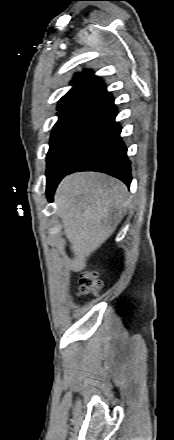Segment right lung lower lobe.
<instances>
[{
  "label": "right lung lower lobe",
  "mask_w": 174,
  "mask_h": 440,
  "mask_svg": "<svg viewBox=\"0 0 174 440\" xmlns=\"http://www.w3.org/2000/svg\"><path fill=\"white\" fill-rule=\"evenodd\" d=\"M98 99L100 107L92 132L83 151L65 175L80 171H99L122 180L130 187L131 163L127 158V148L120 137L121 127L115 122L118 110L114 98L111 93L105 92ZM60 180L47 186L46 194L50 202Z\"/></svg>",
  "instance_id": "1"
}]
</instances>
